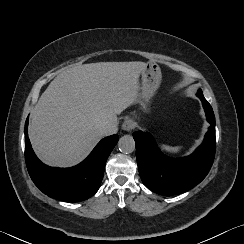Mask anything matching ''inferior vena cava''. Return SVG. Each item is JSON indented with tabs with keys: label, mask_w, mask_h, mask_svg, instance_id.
<instances>
[{
	"label": "inferior vena cava",
	"mask_w": 244,
	"mask_h": 244,
	"mask_svg": "<svg viewBox=\"0 0 244 244\" xmlns=\"http://www.w3.org/2000/svg\"><path fill=\"white\" fill-rule=\"evenodd\" d=\"M100 132L102 136L115 134L117 132V126L112 121L105 122L103 125H101Z\"/></svg>",
	"instance_id": "obj_1"
}]
</instances>
